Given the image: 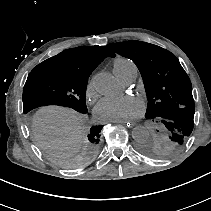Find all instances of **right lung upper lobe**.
Listing matches in <instances>:
<instances>
[{
    "label": "right lung upper lobe",
    "instance_id": "right-lung-upper-lobe-1",
    "mask_svg": "<svg viewBox=\"0 0 211 211\" xmlns=\"http://www.w3.org/2000/svg\"><path fill=\"white\" fill-rule=\"evenodd\" d=\"M115 54L104 46L76 47L64 50L42 64L74 68L83 72L92 71L106 58Z\"/></svg>",
    "mask_w": 211,
    "mask_h": 211
}]
</instances>
